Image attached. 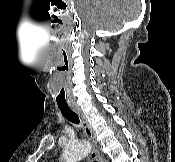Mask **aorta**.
I'll return each mask as SVG.
<instances>
[{
    "mask_svg": "<svg viewBox=\"0 0 175 162\" xmlns=\"http://www.w3.org/2000/svg\"><path fill=\"white\" fill-rule=\"evenodd\" d=\"M91 151V145L86 141L70 142L63 149L64 162H78Z\"/></svg>",
    "mask_w": 175,
    "mask_h": 162,
    "instance_id": "762f6f07",
    "label": "aorta"
}]
</instances>
